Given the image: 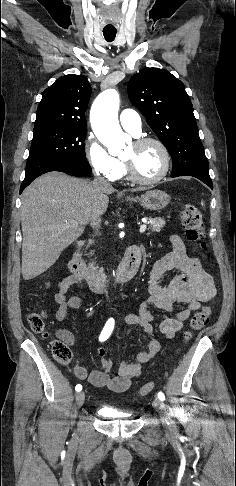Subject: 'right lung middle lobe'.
<instances>
[{
    "label": "right lung middle lobe",
    "mask_w": 236,
    "mask_h": 486,
    "mask_svg": "<svg viewBox=\"0 0 236 486\" xmlns=\"http://www.w3.org/2000/svg\"><path fill=\"white\" fill-rule=\"evenodd\" d=\"M85 137L86 128H34L28 161L48 158L88 163L85 156Z\"/></svg>",
    "instance_id": "obj_1"
}]
</instances>
